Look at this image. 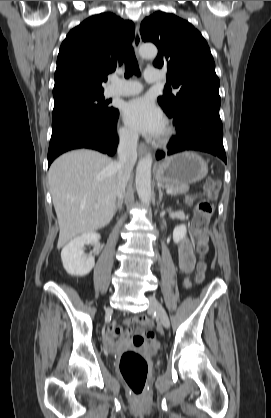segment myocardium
Instances as JSON below:
<instances>
[{"label": "myocardium", "instance_id": "myocardium-1", "mask_svg": "<svg viewBox=\"0 0 271 418\" xmlns=\"http://www.w3.org/2000/svg\"><path fill=\"white\" fill-rule=\"evenodd\" d=\"M172 134H173L172 128L170 126H167L159 139V144L160 145L166 144L171 138Z\"/></svg>", "mask_w": 271, "mask_h": 418}]
</instances>
